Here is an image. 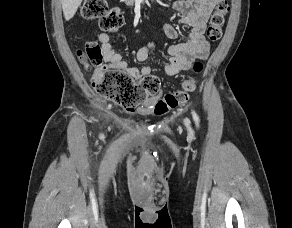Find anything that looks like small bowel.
I'll list each match as a JSON object with an SVG mask.
<instances>
[{"mask_svg": "<svg viewBox=\"0 0 292 228\" xmlns=\"http://www.w3.org/2000/svg\"><path fill=\"white\" fill-rule=\"evenodd\" d=\"M217 0H176L173 4L174 9L180 14V22L189 28L187 39L184 42L172 44L168 48L169 59L164 64V72L168 76H174L182 71L189 70L195 59L205 60L210 53V45L204 36L206 25ZM163 34L175 39L178 37V30L172 25L162 27ZM98 41L103 52L105 64L103 69H116L129 74L133 79L140 80L151 75L153 68L144 66L137 68L129 66L122 55L117 52L110 44L108 32H101ZM155 44L149 42L135 52V59L144 62L149 58V54L154 50ZM160 91L148 97L143 105L137 109L140 114H151L155 112V105L158 102ZM132 112L133 109H128Z\"/></svg>", "mask_w": 292, "mask_h": 228, "instance_id": "obj_1", "label": "small bowel"}]
</instances>
